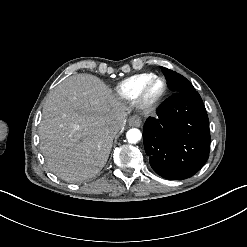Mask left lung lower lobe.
<instances>
[{
  "instance_id": "obj_1",
  "label": "left lung lower lobe",
  "mask_w": 247,
  "mask_h": 247,
  "mask_svg": "<svg viewBox=\"0 0 247 247\" xmlns=\"http://www.w3.org/2000/svg\"><path fill=\"white\" fill-rule=\"evenodd\" d=\"M144 148L152 169L160 176L179 180L197 173L210 149L209 120L196 90L174 93L144 125Z\"/></svg>"
}]
</instances>
